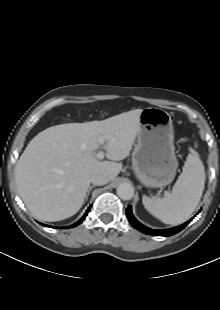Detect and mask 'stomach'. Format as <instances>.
<instances>
[{"mask_svg":"<svg viewBox=\"0 0 220 310\" xmlns=\"http://www.w3.org/2000/svg\"><path fill=\"white\" fill-rule=\"evenodd\" d=\"M171 116L163 109L148 107L140 115L132 166L137 179L148 188L170 184L178 168Z\"/></svg>","mask_w":220,"mask_h":310,"instance_id":"stomach-1","label":"stomach"}]
</instances>
